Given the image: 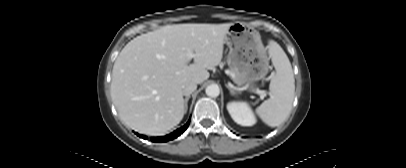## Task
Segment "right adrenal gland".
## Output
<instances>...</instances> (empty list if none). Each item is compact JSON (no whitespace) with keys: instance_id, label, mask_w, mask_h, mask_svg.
<instances>
[{"instance_id":"2a0ac1e0","label":"right adrenal gland","mask_w":406,"mask_h":168,"mask_svg":"<svg viewBox=\"0 0 406 168\" xmlns=\"http://www.w3.org/2000/svg\"><path fill=\"white\" fill-rule=\"evenodd\" d=\"M189 99H190V96H187V97L185 98V100H184L185 113H186L187 110H188V101H189Z\"/></svg>"}]
</instances>
